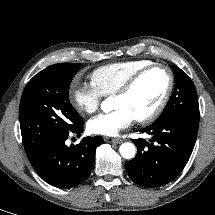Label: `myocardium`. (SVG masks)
<instances>
[{"label": "myocardium", "mask_w": 215, "mask_h": 215, "mask_svg": "<svg viewBox=\"0 0 215 215\" xmlns=\"http://www.w3.org/2000/svg\"><path fill=\"white\" fill-rule=\"evenodd\" d=\"M155 69H163L167 72L169 78L168 86L158 105L149 114L135 119L138 123L141 124H148L153 122L161 115V113L167 106L175 85V78L171 68L161 63H153L147 67H144L143 69L139 70L134 75H132L114 94L115 97L129 94L142 77H144L147 73Z\"/></svg>", "instance_id": "1"}]
</instances>
